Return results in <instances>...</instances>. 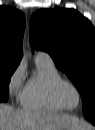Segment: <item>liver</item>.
<instances>
[{
    "mask_svg": "<svg viewBox=\"0 0 95 130\" xmlns=\"http://www.w3.org/2000/svg\"><path fill=\"white\" fill-rule=\"evenodd\" d=\"M69 125H81L83 130L90 129L68 114L29 109L15 110L8 105L0 107V130H64Z\"/></svg>",
    "mask_w": 95,
    "mask_h": 130,
    "instance_id": "6515ba94",
    "label": "liver"
}]
</instances>
